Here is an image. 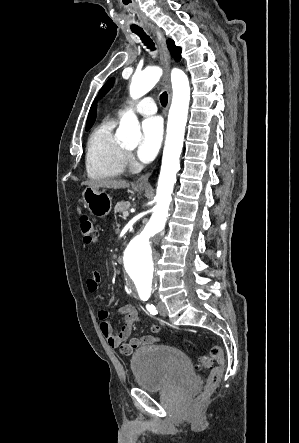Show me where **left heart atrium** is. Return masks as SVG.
<instances>
[{
  "mask_svg": "<svg viewBox=\"0 0 299 443\" xmlns=\"http://www.w3.org/2000/svg\"><path fill=\"white\" fill-rule=\"evenodd\" d=\"M163 136V121L160 117L147 118L142 123V138L137 155L143 162L150 161L157 153Z\"/></svg>",
  "mask_w": 299,
  "mask_h": 443,
  "instance_id": "obj_1",
  "label": "left heart atrium"
}]
</instances>
